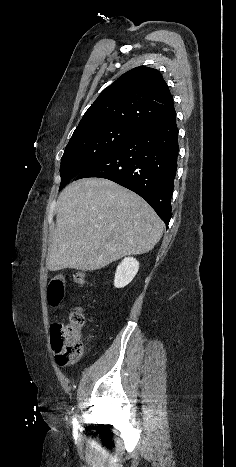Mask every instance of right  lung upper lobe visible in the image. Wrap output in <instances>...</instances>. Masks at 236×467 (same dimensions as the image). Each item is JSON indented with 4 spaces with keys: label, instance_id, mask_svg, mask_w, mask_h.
<instances>
[{
    "label": "right lung upper lobe",
    "instance_id": "obj_1",
    "mask_svg": "<svg viewBox=\"0 0 236 467\" xmlns=\"http://www.w3.org/2000/svg\"><path fill=\"white\" fill-rule=\"evenodd\" d=\"M174 111L172 95L161 73L140 66L120 76L101 92L74 133L106 125L139 130Z\"/></svg>",
    "mask_w": 236,
    "mask_h": 467
}]
</instances>
